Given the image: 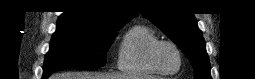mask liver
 <instances>
[{"label": "liver", "instance_id": "obj_1", "mask_svg": "<svg viewBox=\"0 0 255 79\" xmlns=\"http://www.w3.org/2000/svg\"><path fill=\"white\" fill-rule=\"evenodd\" d=\"M51 79H154V77L125 76L121 74H103L97 72H64L53 75Z\"/></svg>", "mask_w": 255, "mask_h": 79}]
</instances>
